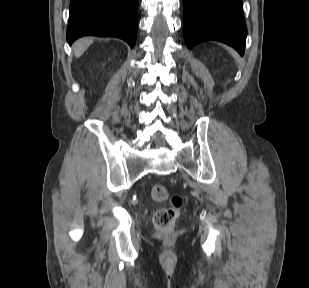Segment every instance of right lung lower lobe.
<instances>
[{
	"label": "right lung lower lobe",
	"instance_id": "obj_1",
	"mask_svg": "<svg viewBox=\"0 0 309 288\" xmlns=\"http://www.w3.org/2000/svg\"><path fill=\"white\" fill-rule=\"evenodd\" d=\"M138 0H71L67 41L84 35L118 37L134 47Z\"/></svg>",
	"mask_w": 309,
	"mask_h": 288
}]
</instances>
